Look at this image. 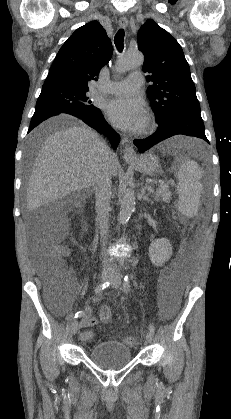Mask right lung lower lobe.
<instances>
[{
  "label": "right lung lower lobe",
  "instance_id": "obj_1",
  "mask_svg": "<svg viewBox=\"0 0 231 419\" xmlns=\"http://www.w3.org/2000/svg\"><path fill=\"white\" fill-rule=\"evenodd\" d=\"M57 115H62V116L70 115L84 121L86 124L93 127L97 132L107 136L110 139L111 144L114 149L117 148L120 142V136L111 128V126L108 125L101 111H98L88 116H84V115H72L65 112H57V111H51V110H46V109L36 110L31 119L28 132H30L34 127H36L42 121L50 117L57 116Z\"/></svg>",
  "mask_w": 231,
  "mask_h": 419
}]
</instances>
